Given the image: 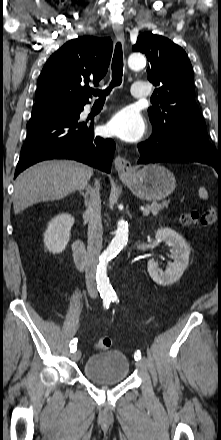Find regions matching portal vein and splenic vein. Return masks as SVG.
Returning a JSON list of instances; mask_svg holds the SVG:
<instances>
[{
    "label": "portal vein and splenic vein",
    "mask_w": 221,
    "mask_h": 440,
    "mask_svg": "<svg viewBox=\"0 0 221 440\" xmlns=\"http://www.w3.org/2000/svg\"><path fill=\"white\" fill-rule=\"evenodd\" d=\"M141 210H142L144 216H147L150 213V211L145 207L141 208Z\"/></svg>",
    "instance_id": "portal-vein-and-splenic-vein-1"
}]
</instances>
